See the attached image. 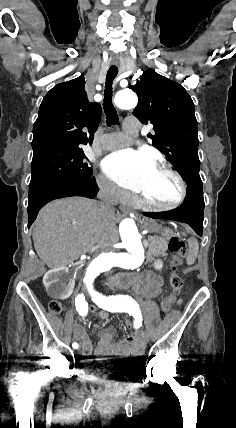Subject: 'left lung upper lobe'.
<instances>
[{
    "label": "left lung upper lobe",
    "instance_id": "left-lung-upper-lobe-1",
    "mask_svg": "<svg viewBox=\"0 0 236 428\" xmlns=\"http://www.w3.org/2000/svg\"><path fill=\"white\" fill-rule=\"evenodd\" d=\"M139 102L133 111L142 123L154 125L148 134L188 187L202 186L199 175L197 120L194 104L184 87L148 69L135 86Z\"/></svg>",
    "mask_w": 236,
    "mask_h": 428
}]
</instances>
